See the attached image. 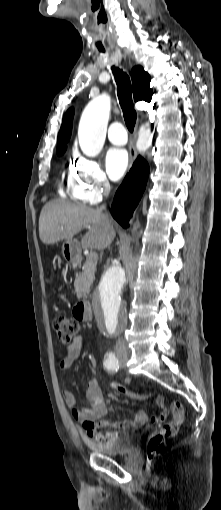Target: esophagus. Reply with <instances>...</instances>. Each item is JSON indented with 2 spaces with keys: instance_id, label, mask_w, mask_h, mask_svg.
<instances>
[{
  "instance_id": "esophagus-1",
  "label": "esophagus",
  "mask_w": 221,
  "mask_h": 510,
  "mask_svg": "<svg viewBox=\"0 0 221 510\" xmlns=\"http://www.w3.org/2000/svg\"><path fill=\"white\" fill-rule=\"evenodd\" d=\"M136 159V151L133 145L130 147V161L133 163Z\"/></svg>"
}]
</instances>
